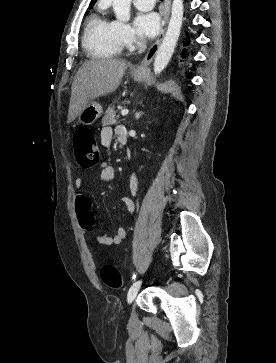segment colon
<instances>
[{"mask_svg": "<svg viewBox=\"0 0 276 363\" xmlns=\"http://www.w3.org/2000/svg\"><path fill=\"white\" fill-rule=\"evenodd\" d=\"M73 147L76 160L83 168H91L100 160V149L93 131L87 128L78 129L73 135ZM80 225L83 229L91 226L90 222L83 220L79 214ZM102 281L110 288H120L123 279L118 269L113 265H103L100 269Z\"/></svg>", "mask_w": 276, "mask_h": 363, "instance_id": "colon-1", "label": "colon"}]
</instances>
